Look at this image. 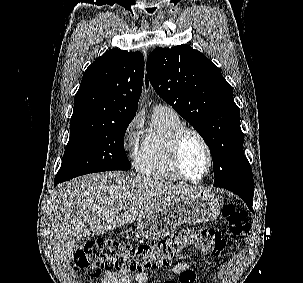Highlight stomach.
<instances>
[{
    "mask_svg": "<svg viewBox=\"0 0 303 283\" xmlns=\"http://www.w3.org/2000/svg\"><path fill=\"white\" fill-rule=\"evenodd\" d=\"M220 199L212 192L201 190L194 194L180 196L163 210L137 222L140 236L159 240L168 236L180 224L208 222L220 211Z\"/></svg>",
    "mask_w": 303,
    "mask_h": 283,
    "instance_id": "0dacf381",
    "label": "stomach"
}]
</instances>
